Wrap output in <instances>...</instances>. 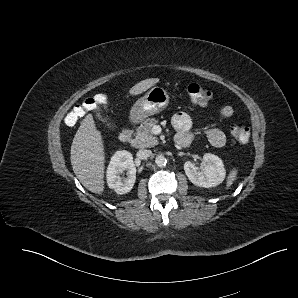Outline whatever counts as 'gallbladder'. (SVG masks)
Instances as JSON below:
<instances>
[{"label": "gallbladder", "mask_w": 298, "mask_h": 298, "mask_svg": "<svg viewBox=\"0 0 298 298\" xmlns=\"http://www.w3.org/2000/svg\"><path fill=\"white\" fill-rule=\"evenodd\" d=\"M102 122L107 123L108 122V118L107 117H101Z\"/></svg>", "instance_id": "obj_1"}]
</instances>
